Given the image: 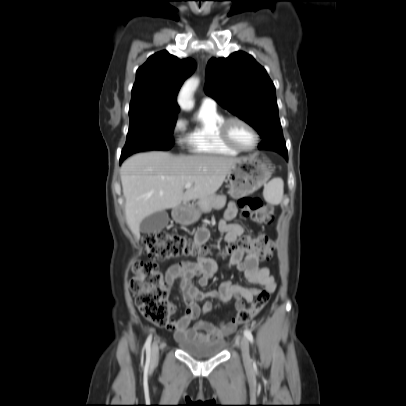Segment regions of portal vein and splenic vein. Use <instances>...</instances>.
<instances>
[{"mask_svg": "<svg viewBox=\"0 0 406 406\" xmlns=\"http://www.w3.org/2000/svg\"><path fill=\"white\" fill-rule=\"evenodd\" d=\"M191 186H192V183H187V184H185V188H186V189H189Z\"/></svg>", "mask_w": 406, "mask_h": 406, "instance_id": "obj_1", "label": "portal vein and splenic vein"}]
</instances>
